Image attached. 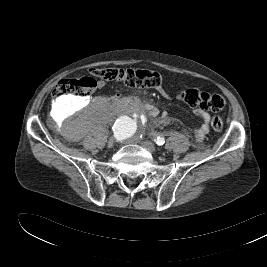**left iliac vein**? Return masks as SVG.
<instances>
[{
  "instance_id": "left-iliac-vein-1",
  "label": "left iliac vein",
  "mask_w": 267,
  "mask_h": 267,
  "mask_svg": "<svg viewBox=\"0 0 267 267\" xmlns=\"http://www.w3.org/2000/svg\"><path fill=\"white\" fill-rule=\"evenodd\" d=\"M141 145L144 148H146L148 151H150V152H155L156 151L155 145L150 141H141Z\"/></svg>"
}]
</instances>
